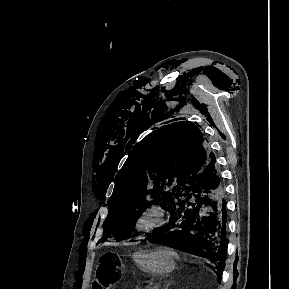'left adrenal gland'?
I'll list each match as a JSON object with an SVG mask.
<instances>
[{"mask_svg":"<svg viewBox=\"0 0 289 289\" xmlns=\"http://www.w3.org/2000/svg\"><path fill=\"white\" fill-rule=\"evenodd\" d=\"M171 282H172V281H168V282H167L165 289H168V287L170 286Z\"/></svg>","mask_w":289,"mask_h":289,"instance_id":"1","label":"left adrenal gland"}]
</instances>
